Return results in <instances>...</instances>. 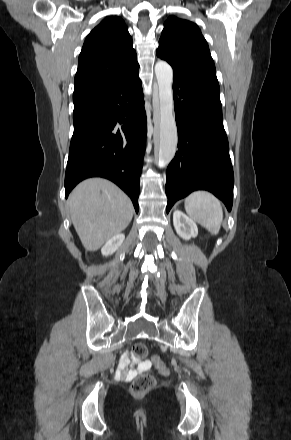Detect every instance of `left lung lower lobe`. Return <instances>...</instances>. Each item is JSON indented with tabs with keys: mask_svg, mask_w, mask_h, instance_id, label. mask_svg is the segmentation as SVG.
Segmentation results:
<instances>
[{
	"mask_svg": "<svg viewBox=\"0 0 291 440\" xmlns=\"http://www.w3.org/2000/svg\"><path fill=\"white\" fill-rule=\"evenodd\" d=\"M173 72L179 141L178 152L166 173V212L194 190L212 192L230 211L234 175L223 127L219 84Z\"/></svg>",
	"mask_w": 291,
	"mask_h": 440,
	"instance_id": "0a47b994",
	"label": "left lung lower lobe"
}]
</instances>
